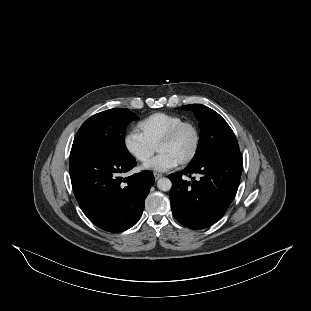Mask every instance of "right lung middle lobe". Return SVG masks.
<instances>
[{
	"instance_id": "dd1d6c3e",
	"label": "right lung middle lobe",
	"mask_w": 311,
	"mask_h": 311,
	"mask_svg": "<svg viewBox=\"0 0 311 311\" xmlns=\"http://www.w3.org/2000/svg\"><path fill=\"white\" fill-rule=\"evenodd\" d=\"M138 117L126 108H114L87 119L73 141L70 158L86 151H105L114 155L132 157L125 146L127 125Z\"/></svg>"
}]
</instances>
